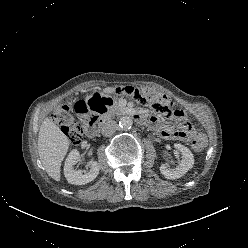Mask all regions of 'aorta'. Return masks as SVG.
Wrapping results in <instances>:
<instances>
[{"mask_svg":"<svg viewBox=\"0 0 248 248\" xmlns=\"http://www.w3.org/2000/svg\"><path fill=\"white\" fill-rule=\"evenodd\" d=\"M133 125V120L132 118L128 117V116H123L120 118L119 121V126L124 129V130H128L132 127Z\"/></svg>","mask_w":248,"mask_h":248,"instance_id":"1","label":"aorta"}]
</instances>
